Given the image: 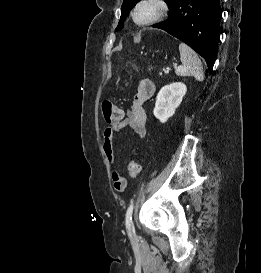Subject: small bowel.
Wrapping results in <instances>:
<instances>
[{
  "instance_id": "obj_1",
  "label": "small bowel",
  "mask_w": 261,
  "mask_h": 273,
  "mask_svg": "<svg viewBox=\"0 0 261 273\" xmlns=\"http://www.w3.org/2000/svg\"><path fill=\"white\" fill-rule=\"evenodd\" d=\"M156 91L155 84L148 78H143L139 81L137 93L133 99L131 107L125 112V116L115 124L108 126L104 131L103 149L106 158L110 165H115L116 156L113 147L114 135L124 128H130L132 132L139 138L146 135L147 114L145 109L146 102L153 97ZM112 180L114 189L117 192H122L117 189L116 183L118 180H126L118 171L112 172Z\"/></svg>"
}]
</instances>
